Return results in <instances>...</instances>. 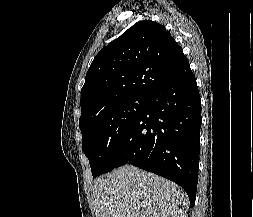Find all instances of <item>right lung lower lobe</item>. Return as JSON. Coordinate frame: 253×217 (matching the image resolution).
I'll return each instance as SVG.
<instances>
[{
    "label": "right lung lower lobe",
    "mask_w": 253,
    "mask_h": 217,
    "mask_svg": "<svg viewBox=\"0 0 253 217\" xmlns=\"http://www.w3.org/2000/svg\"><path fill=\"white\" fill-rule=\"evenodd\" d=\"M201 100L188 60L146 97L143 111L114 153L108 172L130 163L179 184L194 206Z\"/></svg>",
    "instance_id": "98d812e1"
}]
</instances>
